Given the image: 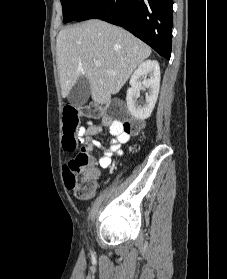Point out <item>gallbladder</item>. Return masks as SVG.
<instances>
[{
    "mask_svg": "<svg viewBox=\"0 0 227 279\" xmlns=\"http://www.w3.org/2000/svg\"><path fill=\"white\" fill-rule=\"evenodd\" d=\"M91 87L85 76H80L68 94V103L73 107H81L90 96Z\"/></svg>",
    "mask_w": 227,
    "mask_h": 279,
    "instance_id": "obj_1",
    "label": "gallbladder"
}]
</instances>
